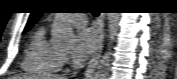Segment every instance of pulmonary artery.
Here are the masks:
<instances>
[{"instance_id":"e3ab8cb5","label":"pulmonary artery","mask_w":177,"mask_h":79,"mask_svg":"<svg viewBox=\"0 0 177 79\" xmlns=\"http://www.w3.org/2000/svg\"><path fill=\"white\" fill-rule=\"evenodd\" d=\"M68 20L72 24L82 25V26L86 25L87 23V17L84 14L68 15Z\"/></svg>"}]
</instances>
